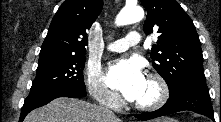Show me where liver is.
I'll list each match as a JSON object with an SVG mask.
<instances>
[{
    "label": "liver",
    "instance_id": "obj_1",
    "mask_svg": "<svg viewBox=\"0 0 221 122\" xmlns=\"http://www.w3.org/2000/svg\"><path fill=\"white\" fill-rule=\"evenodd\" d=\"M24 122H122L110 118L102 110L83 100L56 98L46 106L30 112Z\"/></svg>",
    "mask_w": 221,
    "mask_h": 122
}]
</instances>
